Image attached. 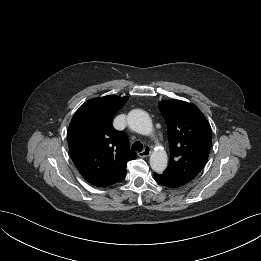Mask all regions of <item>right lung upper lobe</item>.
Masks as SVG:
<instances>
[{"label": "right lung upper lobe", "mask_w": 261, "mask_h": 261, "mask_svg": "<svg viewBox=\"0 0 261 261\" xmlns=\"http://www.w3.org/2000/svg\"><path fill=\"white\" fill-rule=\"evenodd\" d=\"M128 97L108 95L90 99L74 114L67 131L72 160L83 178L97 187L122 180L126 166L136 158L123 131L112 119Z\"/></svg>", "instance_id": "1"}]
</instances>
